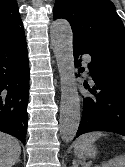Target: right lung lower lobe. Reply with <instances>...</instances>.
Segmentation results:
<instances>
[{
  "label": "right lung lower lobe",
  "instance_id": "right-lung-lower-lobe-1",
  "mask_svg": "<svg viewBox=\"0 0 125 167\" xmlns=\"http://www.w3.org/2000/svg\"><path fill=\"white\" fill-rule=\"evenodd\" d=\"M29 61L25 34L0 40V131L25 144Z\"/></svg>",
  "mask_w": 125,
  "mask_h": 167
}]
</instances>
